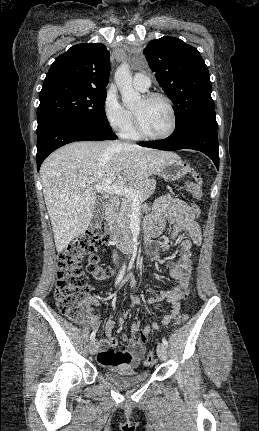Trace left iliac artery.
I'll return each mask as SVG.
<instances>
[{"label":"left iliac artery","mask_w":259,"mask_h":431,"mask_svg":"<svg viewBox=\"0 0 259 431\" xmlns=\"http://www.w3.org/2000/svg\"><path fill=\"white\" fill-rule=\"evenodd\" d=\"M162 342H163V344H164L165 346H167V345H168V342H167L166 338H162Z\"/></svg>","instance_id":"obj_1"}]
</instances>
